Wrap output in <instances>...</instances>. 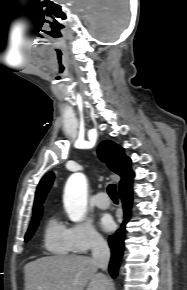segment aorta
Here are the masks:
<instances>
[{
	"label": "aorta",
	"mask_w": 187,
	"mask_h": 290,
	"mask_svg": "<svg viewBox=\"0 0 187 290\" xmlns=\"http://www.w3.org/2000/svg\"><path fill=\"white\" fill-rule=\"evenodd\" d=\"M64 207L70 220L82 221L87 209V180L82 173L72 174L64 189Z\"/></svg>",
	"instance_id": "obj_1"
}]
</instances>
